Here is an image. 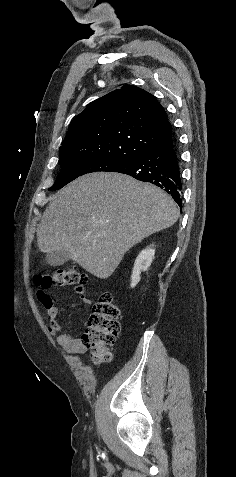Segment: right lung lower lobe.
I'll return each instance as SVG.
<instances>
[{
  "label": "right lung lower lobe",
  "mask_w": 236,
  "mask_h": 477,
  "mask_svg": "<svg viewBox=\"0 0 236 477\" xmlns=\"http://www.w3.org/2000/svg\"><path fill=\"white\" fill-rule=\"evenodd\" d=\"M114 172L152 183L165 190L180 207L182 206L179 160L172 138L159 147L129 161Z\"/></svg>",
  "instance_id": "right-lung-lower-lobe-1"
}]
</instances>
